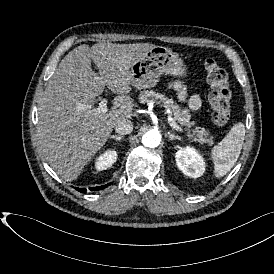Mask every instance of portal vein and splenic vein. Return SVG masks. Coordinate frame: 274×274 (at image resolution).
<instances>
[{
	"instance_id": "18ae733b",
	"label": "portal vein and splenic vein",
	"mask_w": 274,
	"mask_h": 274,
	"mask_svg": "<svg viewBox=\"0 0 274 274\" xmlns=\"http://www.w3.org/2000/svg\"><path fill=\"white\" fill-rule=\"evenodd\" d=\"M107 104H108V99L107 98H103L100 102H99V106L97 107V112L99 114H104L107 113ZM168 121L170 123V126L175 129L176 131H179L181 133H184V130L180 127V125H178L176 123V121L172 118L169 117Z\"/></svg>"
}]
</instances>
